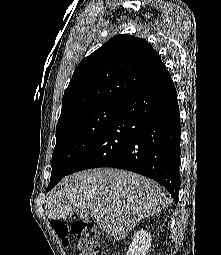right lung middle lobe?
I'll list each match as a JSON object with an SVG mask.
<instances>
[{
  "label": "right lung middle lobe",
  "mask_w": 221,
  "mask_h": 255,
  "mask_svg": "<svg viewBox=\"0 0 221 255\" xmlns=\"http://www.w3.org/2000/svg\"><path fill=\"white\" fill-rule=\"evenodd\" d=\"M119 103H105L74 112L56 126L52 173L47 189L54 187L100 135Z\"/></svg>",
  "instance_id": "1"
}]
</instances>
